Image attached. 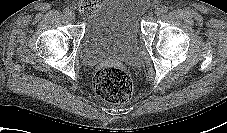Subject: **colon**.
Here are the masks:
<instances>
[{
  "mask_svg": "<svg viewBox=\"0 0 227 133\" xmlns=\"http://www.w3.org/2000/svg\"><path fill=\"white\" fill-rule=\"evenodd\" d=\"M100 0H82L80 8L85 13L94 11ZM96 93L103 99L124 103L133 93V81L128 72L117 66H105L100 68L94 78Z\"/></svg>",
  "mask_w": 227,
  "mask_h": 133,
  "instance_id": "colon-1",
  "label": "colon"
}]
</instances>
